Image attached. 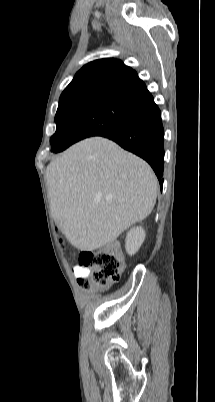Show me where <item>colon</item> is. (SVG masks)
Wrapping results in <instances>:
<instances>
[{
  "label": "colon",
  "mask_w": 215,
  "mask_h": 402,
  "mask_svg": "<svg viewBox=\"0 0 215 402\" xmlns=\"http://www.w3.org/2000/svg\"><path fill=\"white\" fill-rule=\"evenodd\" d=\"M79 266L89 269L87 277L78 279L79 285L85 290H93L120 279L123 259L113 246H108L101 251L83 252Z\"/></svg>",
  "instance_id": "5ec220e1"
}]
</instances>
